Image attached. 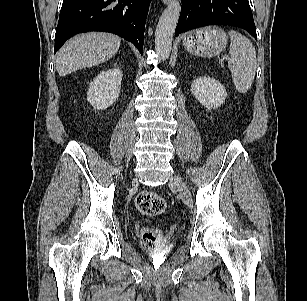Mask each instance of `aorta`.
Here are the masks:
<instances>
[{
	"label": "aorta",
	"mask_w": 307,
	"mask_h": 301,
	"mask_svg": "<svg viewBox=\"0 0 307 301\" xmlns=\"http://www.w3.org/2000/svg\"><path fill=\"white\" fill-rule=\"evenodd\" d=\"M181 11L180 0H170L163 11L155 32V51L162 58H168L172 49L173 34Z\"/></svg>",
	"instance_id": "aorta-1"
}]
</instances>
